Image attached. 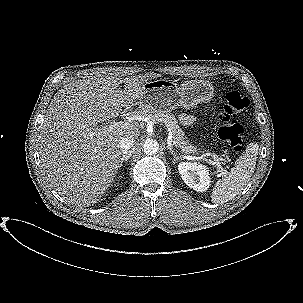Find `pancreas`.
<instances>
[{
	"label": "pancreas",
	"instance_id": "pancreas-1",
	"mask_svg": "<svg viewBox=\"0 0 303 303\" xmlns=\"http://www.w3.org/2000/svg\"><path fill=\"white\" fill-rule=\"evenodd\" d=\"M150 119H155L163 122L169 131L172 133V143L178 147L182 153L194 154L197 153V147L193 146L184 136V132L179 127L176 118L168 113L147 114Z\"/></svg>",
	"mask_w": 303,
	"mask_h": 303
}]
</instances>
